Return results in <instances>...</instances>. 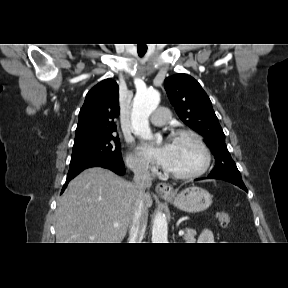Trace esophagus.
Returning a JSON list of instances; mask_svg holds the SVG:
<instances>
[{
  "label": "esophagus",
  "instance_id": "obj_1",
  "mask_svg": "<svg viewBox=\"0 0 288 288\" xmlns=\"http://www.w3.org/2000/svg\"><path fill=\"white\" fill-rule=\"evenodd\" d=\"M156 192L161 196L167 197L174 194V189L171 184L160 182L156 185Z\"/></svg>",
  "mask_w": 288,
  "mask_h": 288
}]
</instances>
